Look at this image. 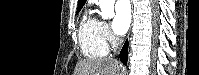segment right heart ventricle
<instances>
[{
	"instance_id": "obj_1",
	"label": "right heart ventricle",
	"mask_w": 199,
	"mask_h": 75,
	"mask_svg": "<svg viewBox=\"0 0 199 75\" xmlns=\"http://www.w3.org/2000/svg\"><path fill=\"white\" fill-rule=\"evenodd\" d=\"M78 36L81 51L86 58L100 59L108 54L109 49L102 37L100 21L89 15L84 16Z\"/></svg>"
}]
</instances>
